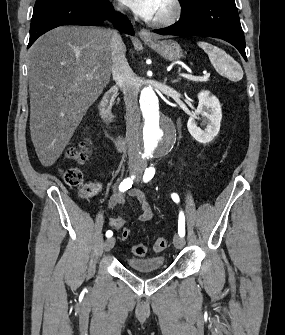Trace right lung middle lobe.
I'll use <instances>...</instances> for the list:
<instances>
[{"label": "right lung middle lobe", "mask_w": 285, "mask_h": 335, "mask_svg": "<svg viewBox=\"0 0 285 335\" xmlns=\"http://www.w3.org/2000/svg\"><path fill=\"white\" fill-rule=\"evenodd\" d=\"M50 0H36V3L35 5H39L41 3H44V2H48ZM78 1H84V2H99V1H102V0H78Z\"/></svg>", "instance_id": "obj_1"}]
</instances>
